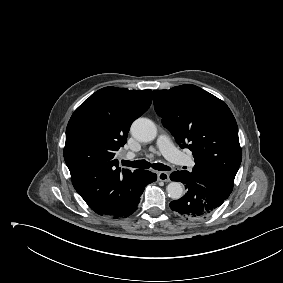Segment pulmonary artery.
Wrapping results in <instances>:
<instances>
[{"label": "pulmonary artery", "instance_id": "1", "mask_svg": "<svg viewBox=\"0 0 283 283\" xmlns=\"http://www.w3.org/2000/svg\"><path fill=\"white\" fill-rule=\"evenodd\" d=\"M156 144L160 152L169 161L179 165H185L188 167L193 166V160L189 156L177 150L174 147V145L171 143L169 137L166 134L159 135ZM125 157L126 159H132L134 158V154L132 152H128L126 153Z\"/></svg>", "mask_w": 283, "mask_h": 283}]
</instances>
